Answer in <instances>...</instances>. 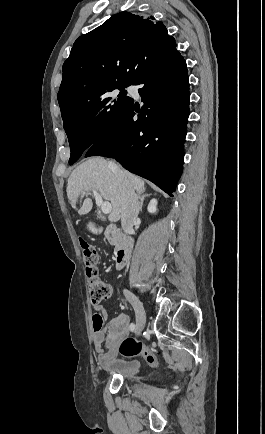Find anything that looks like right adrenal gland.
Returning <instances> with one entry per match:
<instances>
[{
	"instance_id": "obj_1",
	"label": "right adrenal gland",
	"mask_w": 265,
	"mask_h": 434,
	"mask_svg": "<svg viewBox=\"0 0 265 434\" xmlns=\"http://www.w3.org/2000/svg\"><path fill=\"white\" fill-rule=\"evenodd\" d=\"M147 196H151V194H143V196H140V194H139V200H140V202H139V204H140L139 212H142V206H143L144 200H145V198H147Z\"/></svg>"
}]
</instances>
